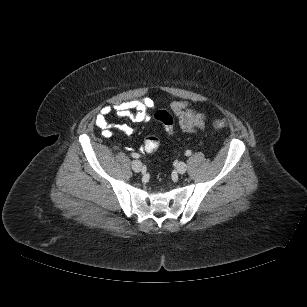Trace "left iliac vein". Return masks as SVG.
I'll list each match as a JSON object with an SVG mask.
<instances>
[{"label":"left iliac vein","instance_id":"4c4485c4","mask_svg":"<svg viewBox=\"0 0 307 307\" xmlns=\"http://www.w3.org/2000/svg\"><path fill=\"white\" fill-rule=\"evenodd\" d=\"M187 170V165L184 162H180L177 166H176V171L179 174H184Z\"/></svg>","mask_w":307,"mask_h":307}]
</instances>
